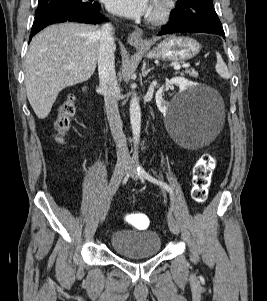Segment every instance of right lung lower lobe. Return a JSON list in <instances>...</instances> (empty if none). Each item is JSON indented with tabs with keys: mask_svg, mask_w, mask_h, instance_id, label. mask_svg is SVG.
<instances>
[{
	"mask_svg": "<svg viewBox=\"0 0 267 301\" xmlns=\"http://www.w3.org/2000/svg\"><path fill=\"white\" fill-rule=\"evenodd\" d=\"M101 6L96 2L92 7L82 10H60L36 17L32 26L30 39L44 27L60 22L76 21L82 23L96 24L105 20V16L100 14Z\"/></svg>",
	"mask_w": 267,
	"mask_h": 301,
	"instance_id": "98d812e1",
	"label": "right lung lower lobe"
}]
</instances>
